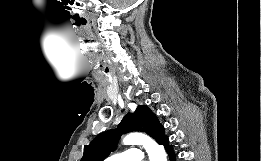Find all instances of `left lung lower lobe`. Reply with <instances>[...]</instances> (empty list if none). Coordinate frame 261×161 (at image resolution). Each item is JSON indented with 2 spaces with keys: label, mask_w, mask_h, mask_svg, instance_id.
<instances>
[{
  "label": "left lung lower lobe",
  "mask_w": 261,
  "mask_h": 161,
  "mask_svg": "<svg viewBox=\"0 0 261 161\" xmlns=\"http://www.w3.org/2000/svg\"><path fill=\"white\" fill-rule=\"evenodd\" d=\"M159 144L165 146L167 152L169 153V156H170L171 161H174L175 155H174V153H173V151H172V145H168V138L165 136V137L159 142Z\"/></svg>",
  "instance_id": "obj_1"
}]
</instances>
